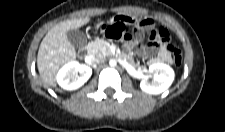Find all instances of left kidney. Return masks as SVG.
Instances as JSON below:
<instances>
[{
	"mask_svg": "<svg viewBox=\"0 0 225 132\" xmlns=\"http://www.w3.org/2000/svg\"><path fill=\"white\" fill-rule=\"evenodd\" d=\"M149 72L152 74L153 79L149 81L145 77L140 82V88L149 94L158 95L168 89L174 80L173 69L163 63H155L149 66Z\"/></svg>",
	"mask_w": 225,
	"mask_h": 132,
	"instance_id": "1",
	"label": "left kidney"
}]
</instances>
